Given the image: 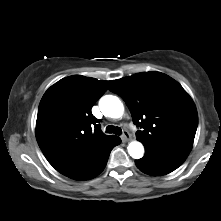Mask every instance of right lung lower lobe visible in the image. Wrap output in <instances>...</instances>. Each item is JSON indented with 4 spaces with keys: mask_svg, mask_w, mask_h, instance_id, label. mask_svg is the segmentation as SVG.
Returning a JSON list of instances; mask_svg holds the SVG:
<instances>
[{
    "mask_svg": "<svg viewBox=\"0 0 221 221\" xmlns=\"http://www.w3.org/2000/svg\"><path fill=\"white\" fill-rule=\"evenodd\" d=\"M121 139L117 136L96 154L78 164L57 170L61 174L75 180H89L99 175L106 166L110 151L119 145Z\"/></svg>",
    "mask_w": 221,
    "mask_h": 221,
    "instance_id": "1",
    "label": "right lung lower lobe"
}]
</instances>
